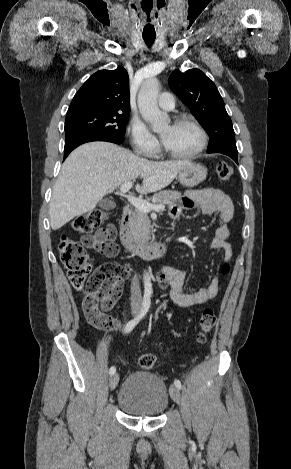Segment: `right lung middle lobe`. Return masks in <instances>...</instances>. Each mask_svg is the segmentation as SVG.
Instances as JSON below:
<instances>
[{"label":"right lung middle lobe","mask_w":291,"mask_h":469,"mask_svg":"<svg viewBox=\"0 0 291 469\" xmlns=\"http://www.w3.org/2000/svg\"><path fill=\"white\" fill-rule=\"evenodd\" d=\"M129 112L82 110L66 114V137L79 134H100L124 137Z\"/></svg>","instance_id":"1"}]
</instances>
